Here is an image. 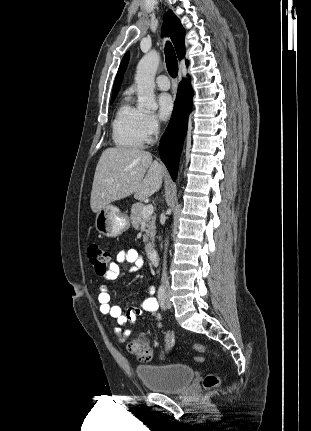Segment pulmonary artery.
<instances>
[{
	"label": "pulmonary artery",
	"mask_w": 311,
	"mask_h": 431,
	"mask_svg": "<svg viewBox=\"0 0 311 431\" xmlns=\"http://www.w3.org/2000/svg\"><path fill=\"white\" fill-rule=\"evenodd\" d=\"M156 82L160 90L166 91L169 90L171 87V82L166 75H159L156 78Z\"/></svg>",
	"instance_id": "1"
}]
</instances>
